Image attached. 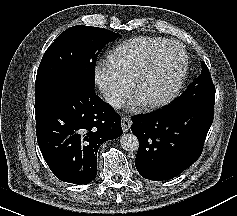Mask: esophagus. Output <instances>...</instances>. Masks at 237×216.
Listing matches in <instances>:
<instances>
[{"label":"esophagus","mask_w":237,"mask_h":216,"mask_svg":"<svg viewBox=\"0 0 237 216\" xmlns=\"http://www.w3.org/2000/svg\"><path fill=\"white\" fill-rule=\"evenodd\" d=\"M131 119L129 116L125 115L123 116L122 120H121V125H122V130L123 132H127L130 127H131Z\"/></svg>","instance_id":"1"}]
</instances>
